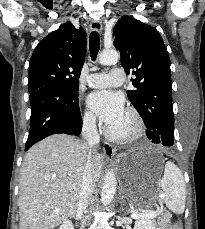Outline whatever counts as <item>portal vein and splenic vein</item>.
<instances>
[{
  "instance_id": "18ae733b",
  "label": "portal vein and splenic vein",
  "mask_w": 205,
  "mask_h": 229,
  "mask_svg": "<svg viewBox=\"0 0 205 229\" xmlns=\"http://www.w3.org/2000/svg\"><path fill=\"white\" fill-rule=\"evenodd\" d=\"M159 214V210H155L151 212V216H157Z\"/></svg>"
}]
</instances>
